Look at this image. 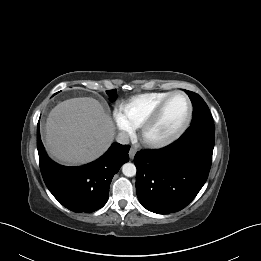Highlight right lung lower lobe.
I'll list each match as a JSON object with an SVG mask.
<instances>
[{"label":"right lung lower lobe","mask_w":261,"mask_h":261,"mask_svg":"<svg viewBox=\"0 0 261 261\" xmlns=\"http://www.w3.org/2000/svg\"><path fill=\"white\" fill-rule=\"evenodd\" d=\"M37 149L44 182L52 195L74 212L91 213L102 208L109 194L111 180L129 160V145L113 143L96 161L79 167L62 166L45 152L37 127Z\"/></svg>","instance_id":"right-lung-lower-lobe-1"}]
</instances>
